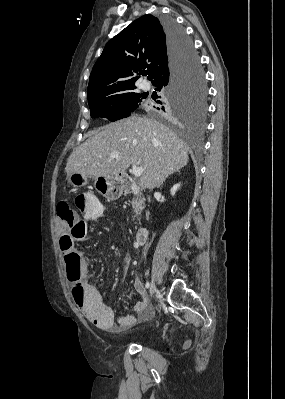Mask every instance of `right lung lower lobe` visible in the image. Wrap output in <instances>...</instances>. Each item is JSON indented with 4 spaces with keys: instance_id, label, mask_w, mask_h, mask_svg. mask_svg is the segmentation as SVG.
<instances>
[{
    "instance_id": "1",
    "label": "right lung lower lobe",
    "mask_w": 285,
    "mask_h": 399,
    "mask_svg": "<svg viewBox=\"0 0 285 399\" xmlns=\"http://www.w3.org/2000/svg\"><path fill=\"white\" fill-rule=\"evenodd\" d=\"M161 22L167 38L168 65L155 76L152 83L157 90L168 89L170 92L182 79L186 68L192 62L194 48L183 28L174 20L164 19ZM164 105L167 106V102Z\"/></svg>"
}]
</instances>
